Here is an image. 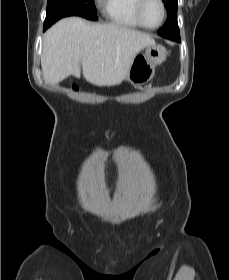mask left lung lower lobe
I'll list each match as a JSON object with an SVG mask.
<instances>
[{"mask_svg":"<svg viewBox=\"0 0 229 280\" xmlns=\"http://www.w3.org/2000/svg\"><path fill=\"white\" fill-rule=\"evenodd\" d=\"M171 40H175V41H178V42H180V38H176V39H171Z\"/></svg>","mask_w":229,"mask_h":280,"instance_id":"left-lung-lower-lobe-1","label":"left lung lower lobe"}]
</instances>
